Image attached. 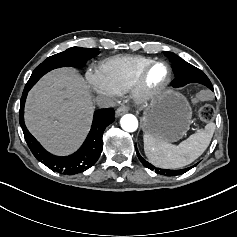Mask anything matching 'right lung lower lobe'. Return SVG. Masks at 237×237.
Wrapping results in <instances>:
<instances>
[{"mask_svg":"<svg viewBox=\"0 0 237 237\" xmlns=\"http://www.w3.org/2000/svg\"><path fill=\"white\" fill-rule=\"evenodd\" d=\"M32 86L27 82L24 88L20 101L19 121L25 140L34 156L51 170L65 175L78 174L90 168L99 159L102 151V134L105 128L115 120L114 110L112 108L97 110L94 113L91 130L81 148L70 156H55L40 145L24 123L25 100Z\"/></svg>","mask_w":237,"mask_h":237,"instance_id":"98d812e1","label":"right lung lower lobe"}]
</instances>
